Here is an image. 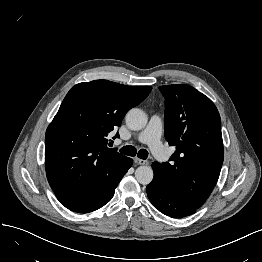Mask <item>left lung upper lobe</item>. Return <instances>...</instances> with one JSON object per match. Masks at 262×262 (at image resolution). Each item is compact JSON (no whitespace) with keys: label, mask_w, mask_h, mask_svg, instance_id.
I'll return each instance as SVG.
<instances>
[{"label":"left lung upper lobe","mask_w":262,"mask_h":262,"mask_svg":"<svg viewBox=\"0 0 262 262\" xmlns=\"http://www.w3.org/2000/svg\"><path fill=\"white\" fill-rule=\"evenodd\" d=\"M165 98V138L176 146L172 163L160 164L166 184L194 208L211 194L224 159L221 119L214 103L195 88L159 87Z\"/></svg>","instance_id":"1"}]
</instances>
